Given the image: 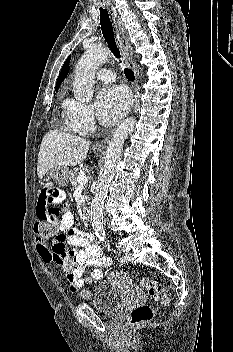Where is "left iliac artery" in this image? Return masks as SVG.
Here are the masks:
<instances>
[{
  "instance_id": "1",
  "label": "left iliac artery",
  "mask_w": 233,
  "mask_h": 352,
  "mask_svg": "<svg viewBox=\"0 0 233 352\" xmlns=\"http://www.w3.org/2000/svg\"><path fill=\"white\" fill-rule=\"evenodd\" d=\"M121 262H122V263L125 262V256H123V257L121 258Z\"/></svg>"
}]
</instances>
